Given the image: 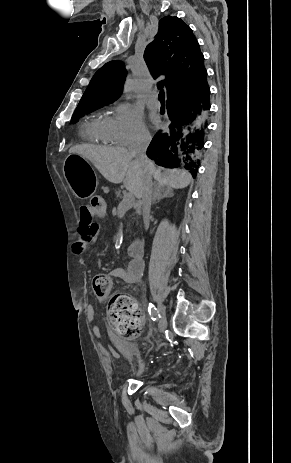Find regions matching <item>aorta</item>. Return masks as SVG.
I'll list each match as a JSON object with an SVG mask.
<instances>
[{"mask_svg": "<svg viewBox=\"0 0 291 463\" xmlns=\"http://www.w3.org/2000/svg\"><path fill=\"white\" fill-rule=\"evenodd\" d=\"M134 90V81L133 80H128L125 85V98L127 100L132 98V92Z\"/></svg>", "mask_w": 291, "mask_h": 463, "instance_id": "obj_1", "label": "aorta"}]
</instances>
